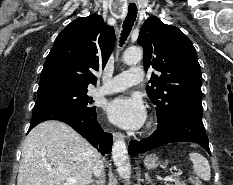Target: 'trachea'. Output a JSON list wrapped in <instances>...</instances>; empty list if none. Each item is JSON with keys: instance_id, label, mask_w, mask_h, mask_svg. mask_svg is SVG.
Segmentation results:
<instances>
[{"instance_id": "3493384b", "label": "trachea", "mask_w": 233, "mask_h": 185, "mask_svg": "<svg viewBox=\"0 0 233 185\" xmlns=\"http://www.w3.org/2000/svg\"><path fill=\"white\" fill-rule=\"evenodd\" d=\"M136 17H137V7L135 4H129V10H128V14L124 20V23H123V31H122V34H121V40H120V43L121 44H124V41L126 40V38L128 37L133 25H134V22L136 20Z\"/></svg>"}]
</instances>
